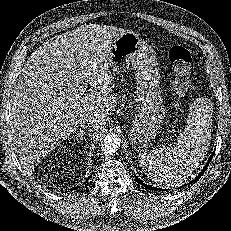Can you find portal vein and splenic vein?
I'll list each match as a JSON object with an SVG mask.
<instances>
[{
    "label": "portal vein and splenic vein",
    "mask_w": 231,
    "mask_h": 231,
    "mask_svg": "<svg viewBox=\"0 0 231 231\" xmlns=\"http://www.w3.org/2000/svg\"><path fill=\"white\" fill-rule=\"evenodd\" d=\"M86 88H87V84L85 83V84L82 86V91L85 92V91H86Z\"/></svg>",
    "instance_id": "obj_1"
}]
</instances>
